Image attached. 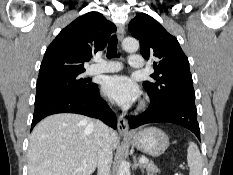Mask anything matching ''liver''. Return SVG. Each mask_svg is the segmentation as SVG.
Masks as SVG:
<instances>
[{
	"label": "liver",
	"instance_id": "6515ba94",
	"mask_svg": "<svg viewBox=\"0 0 233 175\" xmlns=\"http://www.w3.org/2000/svg\"><path fill=\"white\" fill-rule=\"evenodd\" d=\"M113 149L118 137L109 129ZM98 162L97 126L90 118L54 114L33 129L28 148V175H91Z\"/></svg>",
	"mask_w": 233,
	"mask_h": 175
}]
</instances>
